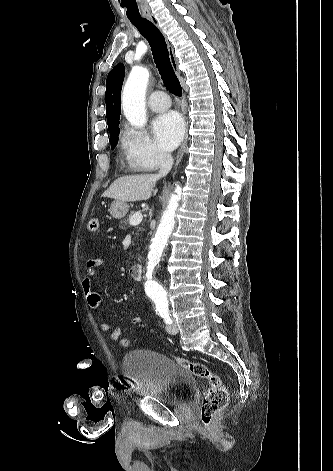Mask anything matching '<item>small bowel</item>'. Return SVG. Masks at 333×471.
<instances>
[{
	"instance_id": "small-bowel-1",
	"label": "small bowel",
	"mask_w": 333,
	"mask_h": 471,
	"mask_svg": "<svg viewBox=\"0 0 333 471\" xmlns=\"http://www.w3.org/2000/svg\"><path fill=\"white\" fill-rule=\"evenodd\" d=\"M102 259L99 257H93L88 260L86 264V272L85 275L82 278V288L86 297V300L90 307L93 309H99L101 305V295L100 293L95 289L93 280L96 274V269L102 264ZM142 321L140 316H133L131 318V323L133 325H138ZM100 328L104 332H109L110 333V338L112 341L117 342L118 339L122 335V329L117 327L114 328L109 322L106 320H101L100 322Z\"/></svg>"
}]
</instances>
